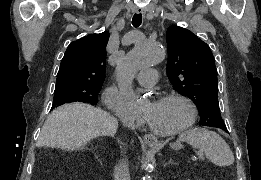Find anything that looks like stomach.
<instances>
[{
    "instance_id": "stomach-1",
    "label": "stomach",
    "mask_w": 261,
    "mask_h": 180,
    "mask_svg": "<svg viewBox=\"0 0 261 180\" xmlns=\"http://www.w3.org/2000/svg\"><path fill=\"white\" fill-rule=\"evenodd\" d=\"M171 146H172V148H176V147H177V145H176V144H172Z\"/></svg>"
}]
</instances>
